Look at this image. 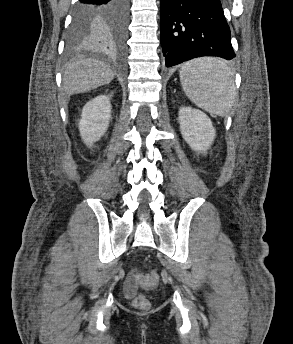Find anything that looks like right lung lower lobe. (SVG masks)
<instances>
[{
    "label": "right lung lower lobe",
    "mask_w": 293,
    "mask_h": 344,
    "mask_svg": "<svg viewBox=\"0 0 293 344\" xmlns=\"http://www.w3.org/2000/svg\"><path fill=\"white\" fill-rule=\"evenodd\" d=\"M129 0H79L76 10L92 20L90 45L121 52L127 35Z\"/></svg>",
    "instance_id": "right-lung-lower-lobe-1"
}]
</instances>
